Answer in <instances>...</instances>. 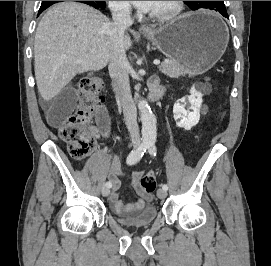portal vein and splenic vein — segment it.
Wrapping results in <instances>:
<instances>
[{
  "label": "portal vein and splenic vein",
  "mask_w": 271,
  "mask_h": 266,
  "mask_svg": "<svg viewBox=\"0 0 271 266\" xmlns=\"http://www.w3.org/2000/svg\"><path fill=\"white\" fill-rule=\"evenodd\" d=\"M89 51L91 53H96V50L93 49V48H90ZM153 63H154V65L159 66L160 65V60H154Z\"/></svg>",
  "instance_id": "obj_1"
}]
</instances>
